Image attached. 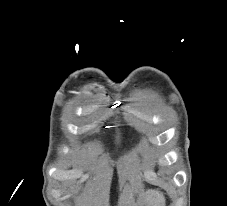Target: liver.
I'll return each instance as SVG.
<instances>
[{"label": "liver", "instance_id": "liver-1", "mask_svg": "<svg viewBox=\"0 0 227 206\" xmlns=\"http://www.w3.org/2000/svg\"><path fill=\"white\" fill-rule=\"evenodd\" d=\"M145 203L148 206H161L164 203V197L159 192L154 190H148L143 194Z\"/></svg>", "mask_w": 227, "mask_h": 206}]
</instances>
